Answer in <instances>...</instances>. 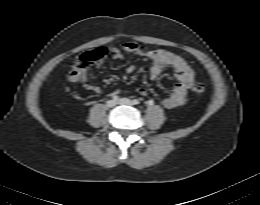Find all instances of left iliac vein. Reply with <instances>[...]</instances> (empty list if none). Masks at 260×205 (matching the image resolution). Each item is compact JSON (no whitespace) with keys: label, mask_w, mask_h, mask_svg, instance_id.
Segmentation results:
<instances>
[{"label":"left iliac vein","mask_w":260,"mask_h":205,"mask_svg":"<svg viewBox=\"0 0 260 205\" xmlns=\"http://www.w3.org/2000/svg\"><path fill=\"white\" fill-rule=\"evenodd\" d=\"M118 103L122 105H133V101L128 98H121L119 99Z\"/></svg>","instance_id":"left-iliac-vein-1"}]
</instances>
